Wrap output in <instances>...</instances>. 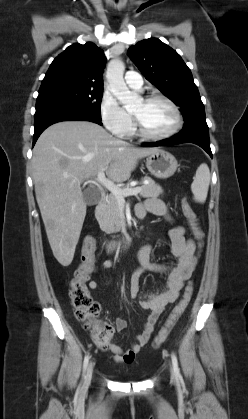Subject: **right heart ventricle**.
<instances>
[{
	"mask_svg": "<svg viewBox=\"0 0 248 419\" xmlns=\"http://www.w3.org/2000/svg\"><path fill=\"white\" fill-rule=\"evenodd\" d=\"M133 133H134V131H133V128H132V126H131V128H130V130H129L128 135H133Z\"/></svg>",
	"mask_w": 248,
	"mask_h": 419,
	"instance_id": "obj_1",
	"label": "right heart ventricle"
}]
</instances>
